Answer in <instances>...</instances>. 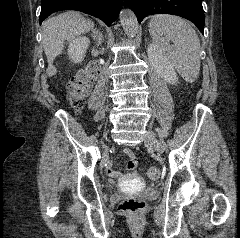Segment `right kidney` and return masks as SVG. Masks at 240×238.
Segmentation results:
<instances>
[{"label":"right kidney","instance_id":"ca27d5eb","mask_svg":"<svg viewBox=\"0 0 240 238\" xmlns=\"http://www.w3.org/2000/svg\"><path fill=\"white\" fill-rule=\"evenodd\" d=\"M89 43V39L85 36H78L70 41L67 53L72 62L81 63L83 61Z\"/></svg>","mask_w":240,"mask_h":238}]
</instances>
